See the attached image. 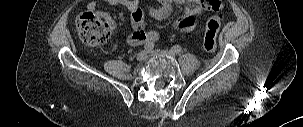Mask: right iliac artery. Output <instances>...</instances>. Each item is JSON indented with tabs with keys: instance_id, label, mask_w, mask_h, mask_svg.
Here are the masks:
<instances>
[{
	"instance_id": "1",
	"label": "right iliac artery",
	"mask_w": 303,
	"mask_h": 127,
	"mask_svg": "<svg viewBox=\"0 0 303 127\" xmlns=\"http://www.w3.org/2000/svg\"><path fill=\"white\" fill-rule=\"evenodd\" d=\"M153 48H154V44L151 42H148L144 45V50L147 52L151 51Z\"/></svg>"
}]
</instances>
